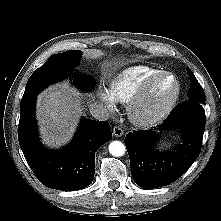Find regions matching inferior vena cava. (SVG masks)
Here are the masks:
<instances>
[{"instance_id":"1","label":"inferior vena cava","mask_w":221,"mask_h":221,"mask_svg":"<svg viewBox=\"0 0 221 221\" xmlns=\"http://www.w3.org/2000/svg\"><path fill=\"white\" fill-rule=\"evenodd\" d=\"M90 114L94 118L102 121H105L110 117L107 108L103 104L90 105Z\"/></svg>"}]
</instances>
